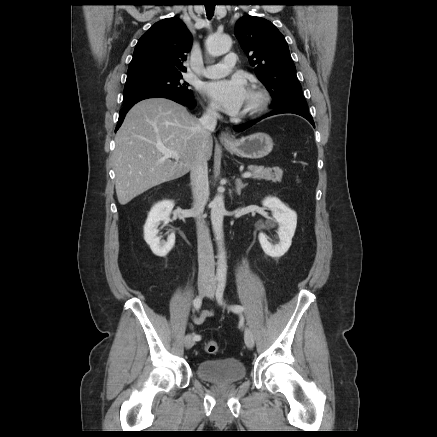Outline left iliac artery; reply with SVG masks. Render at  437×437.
Masks as SVG:
<instances>
[{
    "label": "left iliac artery",
    "mask_w": 437,
    "mask_h": 437,
    "mask_svg": "<svg viewBox=\"0 0 437 437\" xmlns=\"http://www.w3.org/2000/svg\"><path fill=\"white\" fill-rule=\"evenodd\" d=\"M225 286H226V278L221 277L219 279L218 287L216 290V299L220 305H223V294H224ZM230 309L233 312H242L244 310V308L240 305H232L230 306Z\"/></svg>",
    "instance_id": "left-iliac-artery-1"
}]
</instances>
